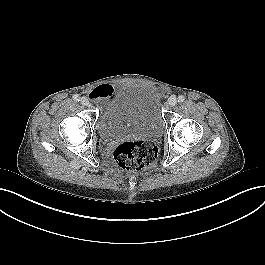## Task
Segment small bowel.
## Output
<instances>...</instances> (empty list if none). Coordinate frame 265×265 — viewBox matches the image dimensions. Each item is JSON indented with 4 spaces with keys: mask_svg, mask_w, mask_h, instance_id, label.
Wrapping results in <instances>:
<instances>
[{
    "mask_svg": "<svg viewBox=\"0 0 265 265\" xmlns=\"http://www.w3.org/2000/svg\"><path fill=\"white\" fill-rule=\"evenodd\" d=\"M116 92L115 88L109 84H102L95 87L90 97L96 102L97 106L100 107L103 103Z\"/></svg>",
    "mask_w": 265,
    "mask_h": 265,
    "instance_id": "1",
    "label": "small bowel"
}]
</instances>
